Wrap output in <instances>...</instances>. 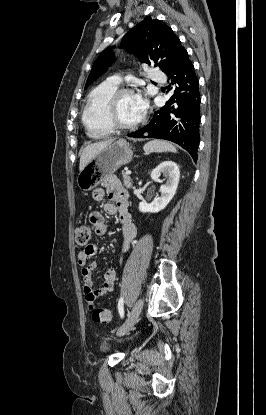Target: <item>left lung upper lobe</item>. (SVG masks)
<instances>
[{"label":"left lung upper lobe","mask_w":266,"mask_h":415,"mask_svg":"<svg viewBox=\"0 0 266 415\" xmlns=\"http://www.w3.org/2000/svg\"><path fill=\"white\" fill-rule=\"evenodd\" d=\"M123 44L141 62L154 63L166 74H171L187 51L172 29L160 20L146 17L136 27L127 32ZM114 60L111 48H107L96 59L88 76L85 89L103 74Z\"/></svg>","instance_id":"obj_1"}]
</instances>
